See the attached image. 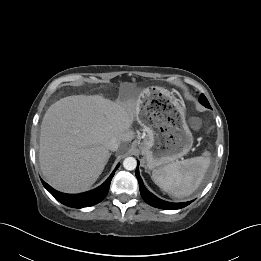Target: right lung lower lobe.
Wrapping results in <instances>:
<instances>
[{
	"label": "right lung lower lobe",
	"instance_id": "right-lung-lower-lobe-1",
	"mask_svg": "<svg viewBox=\"0 0 261 261\" xmlns=\"http://www.w3.org/2000/svg\"><path fill=\"white\" fill-rule=\"evenodd\" d=\"M118 167L119 165L115 168L113 173L101 186H99L94 190L80 193V194L61 193L54 190L46 182L42 181V183L44 187L62 204L73 208L90 207L101 202L106 197L109 191L111 179L114 176V173Z\"/></svg>",
	"mask_w": 261,
	"mask_h": 261
}]
</instances>
